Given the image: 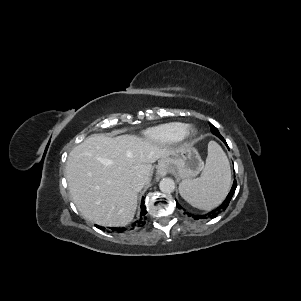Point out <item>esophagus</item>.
<instances>
[{
	"label": "esophagus",
	"instance_id": "esophagus-1",
	"mask_svg": "<svg viewBox=\"0 0 301 301\" xmlns=\"http://www.w3.org/2000/svg\"><path fill=\"white\" fill-rule=\"evenodd\" d=\"M157 172L159 175L165 176L168 172V169L165 165L161 164V165H159Z\"/></svg>",
	"mask_w": 301,
	"mask_h": 301
}]
</instances>
